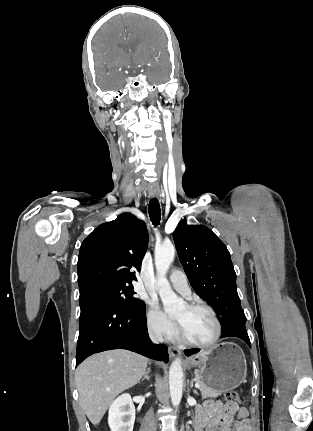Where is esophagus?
<instances>
[{
  "mask_svg": "<svg viewBox=\"0 0 313 431\" xmlns=\"http://www.w3.org/2000/svg\"><path fill=\"white\" fill-rule=\"evenodd\" d=\"M149 196L151 198L158 197L159 196V192L157 190L152 189V190L149 191ZM168 351H169V354H170L171 357L178 356L181 353V350L179 348H177V347H169Z\"/></svg>",
  "mask_w": 313,
  "mask_h": 431,
  "instance_id": "1",
  "label": "esophagus"
}]
</instances>
